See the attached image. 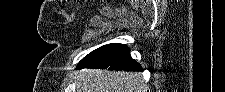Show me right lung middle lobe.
I'll list each match as a JSON object with an SVG mask.
<instances>
[{
  "label": "right lung middle lobe",
  "mask_w": 225,
  "mask_h": 92,
  "mask_svg": "<svg viewBox=\"0 0 225 92\" xmlns=\"http://www.w3.org/2000/svg\"><path fill=\"white\" fill-rule=\"evenodd\" d=\"M126 47L123 44L118 43H112L108 45H104L94 51H92L90 54L86 55L77 65L76 69H82L85 68L88 64L92 63L93 61L108 55L109 53H112L118 49Z\"/></svg>",
  "instance_id": "dd1d6c3e"
}]
</instances>
